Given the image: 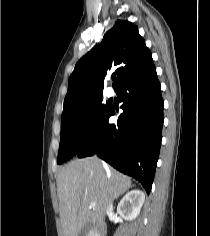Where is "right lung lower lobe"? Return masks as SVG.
Returning a JSON list of instances; mask_svg holds the SVG:
<instances>
[{
  "label": "right lung lower lobe",
  "instance_id": "right-lung-lower-lobe-1",
  "mask_svg": "<svg viewBox=\"0 0 210 236\" xmlns=\"http://www.w3.org/2000/svg\"><path fill=\"white\" fill-rule=\"evenodd\" d=\"M123 102L118 123L110 124V107L105 118L76 154L78 158L97 154L117 170L137 179L149 194L162 139L163 99L152 63L115 89Z\"/></svg>",
  "mask_w": 210,
  "mask_h": 236
}]
</instances>
